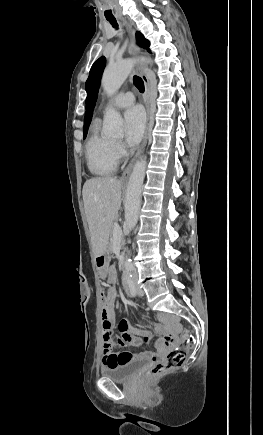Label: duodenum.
<instances>
[{
    "label": "duodenum",
    "mask_w": 263,
    "mask_h": 435,
    "mask_svg": "<svg viewBox=\"0 0 263 435\" xmlns=\"http://www.w3.org/2000/svg\"><path fill=\"white\" fill-rule=\"evenodd\" d=\"M124 288H125V291L127 293H130V287H129V284H128L126 278L124 279Z\"/></svg>",
    "instance_id": "obj_1"
}]
</instances>
